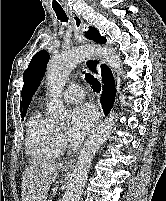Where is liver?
<instances>
[{"label":"liver","mask_w":166,"mask_h":201,"mask_svg":"<svg viewBox=\"0 0 166 201\" xmlns=\"http://www.w3.org/2000/svg\"><path fill=\"white\" fill-rule=\"evenodd\" d=\"M67 166L58 162H37L22 174V201H47L48 191L60 171Z\"/></svg>","instance_id":"liver-1"}]
</instances>
